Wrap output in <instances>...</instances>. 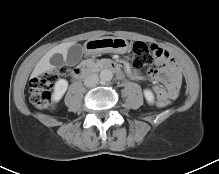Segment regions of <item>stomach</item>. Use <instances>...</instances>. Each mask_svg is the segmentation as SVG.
Here are the masks:
<instances>
[{
  "instance_id": "obj_1",
  "label": "stomach",
  "mask_w": 219,
  "mask_h": 174,
  "mask_svg": "<svg viewBox=\"0 0 219 174\" xmlns=\"http://www.w3.org/2000/svg\"><path fill=\"white\" fill-rule=\"evenodd\" d=\"M85 52L88 55L99 53H119L124 54L130 48L128 41L119 37H102L90 39L84 44Z\"/></svg>"
}]
</instances>
